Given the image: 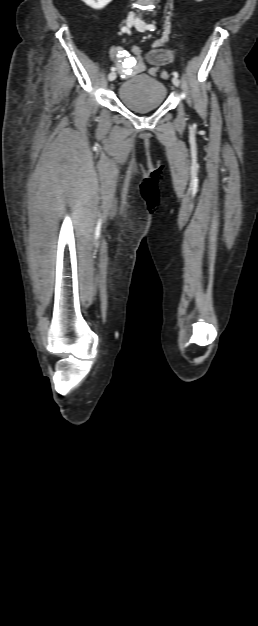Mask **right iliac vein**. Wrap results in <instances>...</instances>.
I'll return each mask as SVG.
<instances>
[{
  "label": "right iliac vein",
  "mask_w": 258,
  "mask_h": 626,
  "mask_svg": "<svg viewBox=\"0 0 258 626\" xmlns=\"http://www.w3.org/2000/svg\"><path fill=\"white\" fill-rule=\"evenodd\" d=\"M134 24H135V19L133 17L130 16V17H128L126 19V25L129 28H131ZM116 77H117V74H116V72L113 71V72L109 73L108 80L109 81H114L116 79Z\"/></svg>",
  "instance_id": "1"
}]
</instances>
